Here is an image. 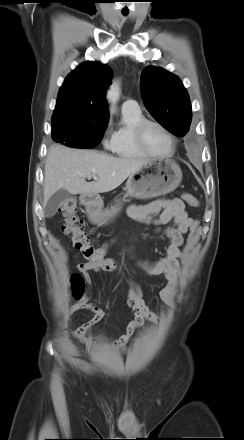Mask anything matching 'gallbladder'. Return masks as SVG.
<instances>
[{
  "label": "gallbladder",
  "instance_id": "bac80fb5",
  "mask_svg": "<svg viewBox=\"0 0 244 440\" xmlns=\"http://www.w3.org/2000/svg\"><path fill=\"white\" fill-rule=\"evenodd\" d=\"M71 197V194L65 189H59L48 200L45 206V214L49 217L53 216L57 209Z\"/></svg>",
  "mask_w": 244,
  "mask_h": 440
}]
</instances>
